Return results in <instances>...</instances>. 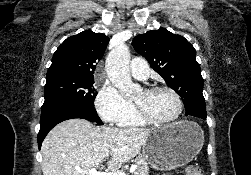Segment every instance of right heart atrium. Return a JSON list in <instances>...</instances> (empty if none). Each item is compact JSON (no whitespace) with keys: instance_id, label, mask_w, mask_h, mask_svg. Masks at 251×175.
<instances>
[{"instance_id":"obj_1","label":"right heart atrium","mask_w":251,"mask_h":175,"mask_svg":"<svg viewBox=\"0 0 251 175\" xmlns=\"http://www.w3.org/2000/svg\"><path fill=\"white\" fill-rule=\"evenodd\" d=\"M95 109L103 121L112 124H122L136 114L135 107L109 82H105L99 89Z\"/></svg>"}]
</instances>
